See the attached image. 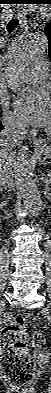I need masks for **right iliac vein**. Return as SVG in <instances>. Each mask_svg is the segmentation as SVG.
<instances>
[{
    "label": "right iliac vein",
    "mask_w": 51,
    "mask_h": 393,
    "mask_svg": "<svg viewBox=\"0 0 51 393\" xmlns=\"http://www.w3.org/2000/svg\"><path fill=\"white\" fill-rule=\"evenodd\" d=\"M1 306H2V307L5 306V301H4V300L1 301Z\"/></svg>",
    "instance_id": "1"
}]
</instances>
